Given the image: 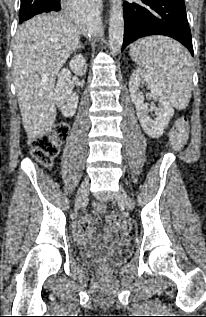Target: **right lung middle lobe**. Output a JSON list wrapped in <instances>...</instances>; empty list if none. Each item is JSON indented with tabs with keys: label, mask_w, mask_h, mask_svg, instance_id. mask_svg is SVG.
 Listing matches in <instances>:
<instances>
[{
	"label": "right lung middle lobe",
	"mask_w": 206,
	"mask_h": 317,
	"mask_svg": "<svg viewBox=\"0 0 206 317\" xmlns=\"http://www.w3.org/2000/svg\"><path fill=\"white\" fill-rule=\"evenodd\" d=\"M50 0H21L19 11V23L30 19L31 17L44 12L64 11L67 8L68 0H63L58 5L46 6L44 2Z\"/></svg>",
	"instance_id": "right-lung-middle-lobe-1"
}]
</instances>
